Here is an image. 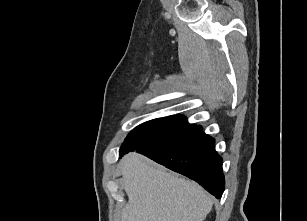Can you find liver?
<instances>
[{
  "label": "liver",
  "mask_w": 307,
  "mask_h": 221,
  "mask_svg": "<svg viewBox=\"0 0 307 221\" xmlns=\"http://www.w3.org/2000/svg\"><path fill=\"white\" fill-rule=\"evenodd\" d=\"M128 202L121 221H204L212 198L197 183L179 178L135 152L120 162Z\"/></svg>",
  "instance_id": "1"
}]
</instances>
